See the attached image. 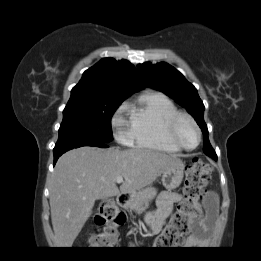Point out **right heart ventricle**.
<instances>
[{
    "mask_svg": "<svg viewBox=\"0 0 261 261\" xmlns=\"http://www.w3.org/2000/svg\"><path fill=\"white\" fill-rule=\"evenodd\" d=\"M129 143L165 153H179L168 134L169 121L179 113L172 100L160 92H145L126 106Z\"/></svg>",
    "mask_w": 261,
    "mask_h": 261,
    "instance_id": "e07e8e85",
    "label": "right heart ventricle"
}]
</instances>
